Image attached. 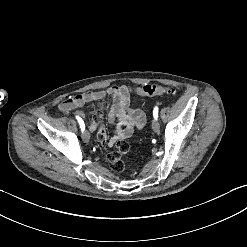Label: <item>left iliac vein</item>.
<instances>
[{
    "label": "left iliac vein",
    "instance_id": "obj_1",
    "mask_svg": "<svg viewBox=\"0 0 247 247\" xmlns=\"http://www.w3.org/2000/svg\"><path fill=\"white\" fill-rule=\"evenodd\" d=\"M152 128H153L155 133L158 134L160 132V127H159L158 120L155 119V118L152 120Z\"/></svg>",
    "mask_w": 247,
    "mask_h": 247
}]
</instances>
